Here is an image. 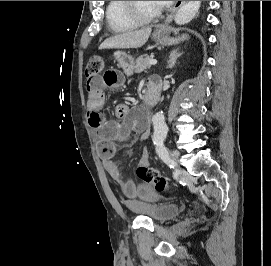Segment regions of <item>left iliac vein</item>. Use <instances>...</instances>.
Here are the masks:
<instances>
[{
  "label": "left iliac vein",
  "mask_w": 271,
  "mask_h": 266,
  "mask_svg": "<svg viewBox=\"0 0 271 266\" xmlns=\"http://www.w3.org/2000/svg\"><path fill=\"white\" fill-rule=\"evenodd\" d=\"M179 158H180V154L178 151L176 150H173L171 152V160L174 162L175 165H177V162L179 161ZM177 172L180 174L181 171L178 169Z\"/></svg>",
  "instance_id": "obj_1"
}]
</instances>
